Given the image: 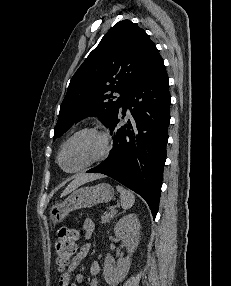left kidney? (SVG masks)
I'll return each instance as SVG.
<instances>
[{
	"label": "left kidney",
	"instance_id": "1",
	"mask_svg": "<svg viewBox=\"0 0 231 286\" xmlns=\"http://www.w3.org/2000/svg\"><path fill=\"white\" fill-rule=\"evenodd\" d=\"M140 222L136 214H128L122 217L114 228L115 236L126 246L129 255L119 259L117 263L113 261L110 254L105 258L103 275L105 281L110 286H116L128 274L131 266L130 256L135 251L140 239Z\"/></svg>",
	"mask_w": 231,
	"mask_h": 286
}]
</instances>
